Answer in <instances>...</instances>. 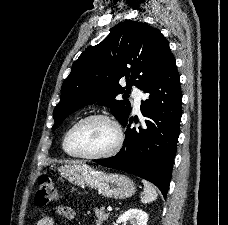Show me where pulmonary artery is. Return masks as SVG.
Masks as SVG:
<instances>
[{"label":"pulmonary artery","mask_w":228,"mask_h":225,"mask_svg":"<svg viewBox=\"0 0 228 225\" xmlns=\"http://www.w3.org/2000/svg\"><path fill=\"white\" fill-rule=\"evenodd\" d=\"M132 98H133V106H134V109L136 111H139L141 102L144 99L143 92L140 89H138V88H134L132 90Z\"/></svg>","instance_id":"e3ab8cb5"}]
</instances>
